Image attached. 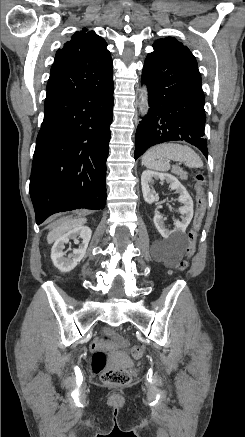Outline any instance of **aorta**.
I'll list each match as a JSON object with an SVG mask.
<instances>
[{"label": "aorta", "instance_id": "762f6f07", "mask_svg": "<svg viewBox=\"0 0 245 437\" xmlns=\"http://www.w3.org/2000/svg\"><path fill=\"white\" fill-rule=\"evenodd\" d=\"M140 101H141L140 110L143 111V107L147 103V90H146L145 87H143L141 89V92H140Z\"/></svg>", "mask_w": 245, "mask_h": 437}]
</instances>
